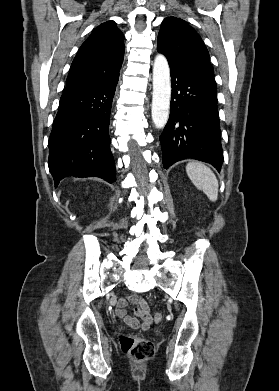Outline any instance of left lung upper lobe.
<instances>
[{
	"label": "left lung upper lobe",
	"mask_w": 279,
	"mask_h": 391,
	"mask_svg": "<svg viewBox=\"0 0 279 391\" xmlns=\"http://www.w3.org/2000/svg\"><path fill=\"white\" fill-rule=\"evenodd\" d=\"M157 50L166 56L169 66L191 73L217 89L209 52L200 35L184 20L173 16L164 19Z\"/></svg>",
	"instance_id": "5c2ea615"
}]
</instances>
